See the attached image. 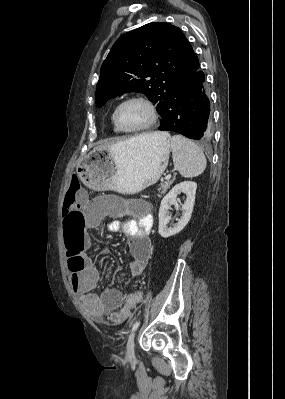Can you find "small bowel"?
Instances as JSON below:
<instances>
[{
    "label": "small bowel",
    "mask_w": 285,
    "mask_h": 399,
    "mask_svg": "<svg viewBox=\"0 0 285 399\" xmlns=\"http://www.w3.org/2000/svg\"><path fill=\"white\" fill-rule=\"evenodd\" d=\"M78 212L84 210L78 206ZM97 210L102 217L115 218L108 225V232L122 233L127 238V246L131 256L127 264L128 275L131 278H138L142 275L150 256L149 234L153 227V219L150 214L137 213L125 215L123 201L117 197L108 195L100 199ZM94 223L80 222L70 228L67 224L64 232L71 230L76 240L90 250L92 241L90 231ZM101 283V274L95 267L93 258L86 256V266L78 273L70 277V285L74 295L80 301L82 307L89 311L97 319L104 321L109 326H117L122 320H115L113 317L119 312L123 304L130 303L134 308L142 300L141 292H133L124 296L119 290L105 289L100 295L92 291Z\"/></svg>",
    "instance_id": "obj_1"
}]
</instances>
